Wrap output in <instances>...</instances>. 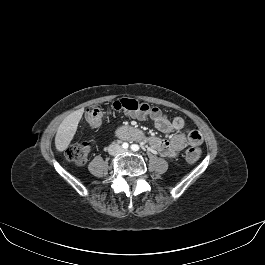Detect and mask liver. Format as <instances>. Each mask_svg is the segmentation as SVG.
<instances>
[{"mask_svg": "<svg viewBox=\"0 0 265 265\" xmlns=\"http://www.w3.org/2000/svg\"><path fill=\"white\" fill-rule=\"evenodd\" d=\"M84 109H79L68 115L59 125L55 136V147L62 152L67 149L73 139Z\"/></svg>", "mask_w": 265, "mask_h": 265, "instance_id": "1", "label": "liver"}]
</instances>
